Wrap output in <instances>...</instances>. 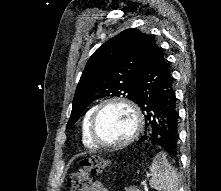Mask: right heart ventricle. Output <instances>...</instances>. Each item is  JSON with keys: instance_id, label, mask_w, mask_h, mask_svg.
<instances>
[{"instance_id": "e07e8e85", "label": "right heart ventricle", "mask_w": 221, "mask_h": 191, "mask_svg": "<svg viewBox=\"0 0 221 191\" xmlns=\"http://www.w3.org/2000/svg\"><path fill=\"white\" fill-rule=\"evenodd\" d=\"M95 107L90 108L84 115L83 120H82V125H81V138L83 144L90 149H95L98 147L97 144H95L89 133V124H90V118L93 113Z\"/></svg>"}]
</instances>
